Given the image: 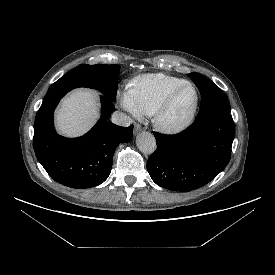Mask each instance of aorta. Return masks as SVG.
Wrapping results in <instances>:
<instances>
[{
  "label": "aorta",
  "instance_id": "1",
  "mask_svg": "<svg viewBox=\"0 0 275 275\" xmlns=\"http://www.w3.org/2000/svg\"><path fill=\"white\" fill-rule=\"evenodd\" d=\"M139 150L145 154H152L156 150V139L149 132H142L136 139Z\"/></svg>",
  "mask_w": 275,
  "mask_h": 275
}]
</instances>
